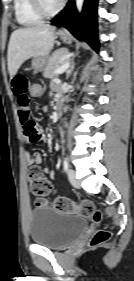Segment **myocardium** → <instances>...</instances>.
Here are the masks:
<instances>
[{
    "label": "myocardium",
    "mask_w": 134,
    "mask_h": 281,
    "mask_svg": "<svg viewBox=\"0 0 134 281\" xmlns=\"http://www.w3.org/2000/svg\"><path fill=\"white\" fill-rule=\"evenodd\" d=\"M31 2L36 12L42 17H51L56 15L63 6V0L59 1L53 8L47 7L44 0H31Z\"/></svg>",
    "instance_id": "1"
}]
</instances>
